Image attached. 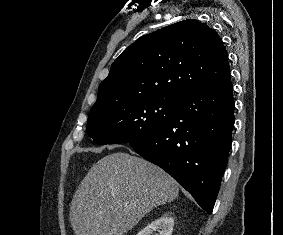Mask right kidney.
Returning a JSON list of instances; mask_svg holds the SVG:
<instances>
[{"instance_id":"obj_1","label":"right kidney","mask_w":283,"mask_h":235,"mask_svg":"<svg viewBox=\"0 0 283 235\" xmlns=\"http://www.w3.org/2000/svg\"><path fill=\"white\" fill-rule=\"evenodd\" d=\"M174 220L172 217L163 215L160 218L153 221L137 235H151L154 232H158L155 235H171L173 231Z\"/></svg>"}]
</instances>
